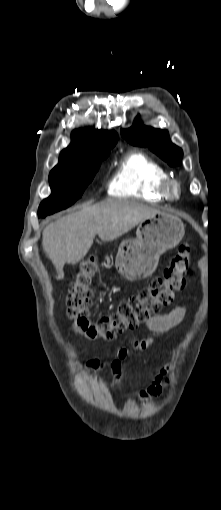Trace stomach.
<instances>
[{
    "label": "stomach",
    "instance_id": "0dacf381",
    "mask_svg": "<svg viewBox=\"0 0 221 510\" xmlns=\"http://www.w3.org/2000/svg\"><path fill=\"white\" fill-rule=\"evenodd\" d=\"M185 234L181 219L171 213L159 212L142 221L135 239L120 243L116 269L131 281L149 277L157 267L160 255L174 248Z\"/></svg>",
    "mask_w": 221,
    "mask_h": 510
}]
</instances>
